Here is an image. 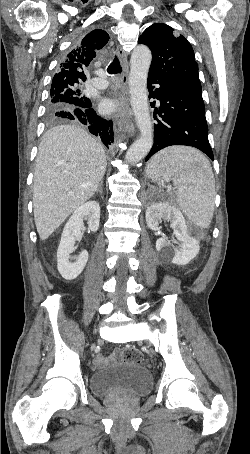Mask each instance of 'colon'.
<instances>
[{
	"instance_id": "5ec220e1",
	"label": "colon",
	"mask_w": 250,
	"mask_h": 454,
	"mask_svg": "<svg viewBox=\"0 0 250 454\" xmlns=\"http://www.w3.org/2000/svg\"><path fill=\"white\" fill-rule=\"evenodd\" d=\"M118 354L121 356L124 362L127 363H141L143 360L142 353L135 347H127L122 349Z\"/></svg>"
}]
</instances>
